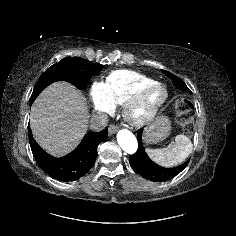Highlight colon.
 <instances>
[{
    "instance_id": "5ec220e1",
    "label": "colon",
    "mask_w": 236,
    "mask_h": 236,
    "mask_svg": "<svg viewBox=\"0 0 236 236\" xmlns=\"http://www.w3.org/2000/svg\"><path fill=\"white\" fill-rule=\"evenodd\" d=\"M175 110L179 124L186 132H191L193 130L191 102L187 99L180 98L176 101Z\"/></svg>"
}]
</instances>
